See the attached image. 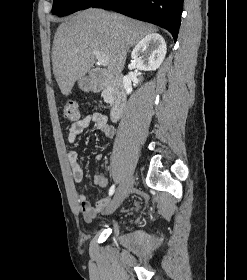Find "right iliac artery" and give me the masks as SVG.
<instances>
[{"label":"right iliac artery","mask_w":247,"mask_h":280,"mask_svg":"<svg viewBox=\"0 0 247 280\" xmlns=\"http://www.w3.org/2000/svg\"><path fill=\"white\" fill-rule=\"evenodd\" d=\"M115 192V185L113 184L109 189V195L112 196Z\"/></svg>","instance_id":"right-iliac-artery-1"}]
</instances>
